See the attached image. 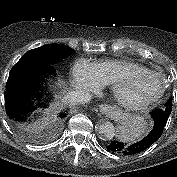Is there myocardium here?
I'll return each instance as SVG.
<instances>
[{
    "instance_id": "1",
    "label": "myocardium",
    "mask_w": 177,
    "mask_h": 177,
    "mask_svg": "<svg viewBox=\"0 0 177 177\" xmlns=\"http://www.w3.org/2000/svg\"><path fill=\"white\" fill-rule=\"evenodd\" d=\"M142 76L157 78L161 83L160 91L155 96L149 99L139 100L135 102L126 100L122 95V89L125 81L129 78H137ZM165 88L166 86L163 77L159 73L148 70V71H141V72L126 73L120 76L112 85V94L116 102L123 108L128 110H142L156 103L163 96L165 92Z\"/></svg>"
}]
</instances>
